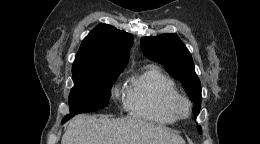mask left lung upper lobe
<instances>
[{"label":"left lung upper lobe","mask_w":260,"mask_h":144,"mask_svg":"<svg viewBox=\"0 0 260 144\" xmlns=\"http://www.w3.org/2000/svg\"><path fill=\"white\" fill-rule=\"evenodd\" d=\"M143 54L166 67L168 73L182 82L186 93L194 101V114L201 107V83L195 73L192 56L176 34H162L141 38Z\"/></svg>","instance_id":"1"}]
</instances>
